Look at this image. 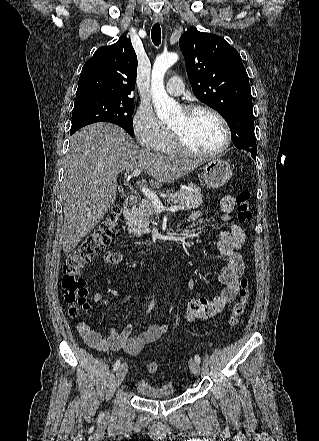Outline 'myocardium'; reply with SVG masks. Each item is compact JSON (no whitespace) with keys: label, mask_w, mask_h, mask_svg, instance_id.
Segmentation results:
<instances>
[{"label":"myocardium","mask_w":319,"mask_h":441,"mask_svg":"<svg viewBox=\"0 0 319 441\" xmlns=\"http://www.w3.org/2000/svg\"><path fill=\"white\" fill-rule=\"evenodd\" d=\"M182 111L187 116H189L197 111H206V112L212 114L220 122V124L223 127L224 142L220 147H218L217 149L212 150V151H208V152L196 151V150L190 148L185 143V141L182 138L181 133L178 130L168 126L171 142H172V145H173L176 152L183 154V155H186V156H190V157L211 158V157H214V156H217V155L223 153L228 148V146L231 143V130H230V126H229L227 120L224 118V116L219 111H217L216 109H214L213 107H211L209 105L201 104V103L186 105L182 108Z\"/></svg>","instance_id":"myocardium-1"}]
</instances>
